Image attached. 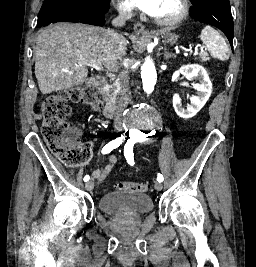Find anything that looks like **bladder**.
I'll return each instance as SVG.
<instances>
[{
	"label": "bladder",
	"mask_w": 256,
	"mask_h": 267,
	"mask_svg": "<svg viewBox=\"0 0 256 267\" xmlns=\"http://www.w3.org/2000/svg\"><path fill=\"white\" fill-rule=\"evenodd\" d=\"M99 207L102 212L134 216L150 212L152 202L149 195H115L114 193H108L101 196Z\"/></svg>",
	"instance_id": "bladder-1"
}]
</instances>
